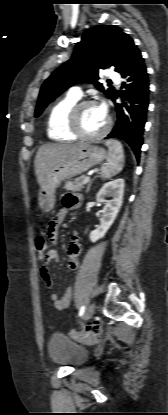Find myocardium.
<instances>
[{
  "instance_id": "obj_1",
  "label": "myocardium",
  "mask_w": 168,
  "mask_h": 415,
  "mask_svg": "<svg viewBox=\"0 0 168 415\" xmlns=\"http://www.w3.org/2000/svg\"><path fill=\"white\" fill-rule=\"evenodd\" d=\"M91 104H95V102L92 100L79 101L72 107L69 113L68 125H69L70 131L77 138H80L83 140H97V139L104 137L110 130L111 124H112L111 118L107 116L106 123L99 132L94 133V134L85 133L82 130L81 125H80V112L84 107L91 105Z\"/></svg>"
}]
</instances>
